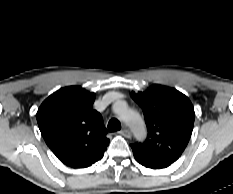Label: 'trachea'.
I'll return each instance as SVG.
<instances>
[{
	"label": "trachea",
	"mask_w": 233,
	"mask_h": 194,
	"mask_svg": "<svg viewBox=\"0 0 233 194\" xmlns=\"http://www.w3.org/2000/svg\"><path fill=\"white\" fill-rule=\"evenodd\" d=\"M108 129L111 132L118 131L121 129V124L117 119L113 118L108 123Z\"/></svg>",
	"instance_id": "trachea-1"
}]
</instances>
